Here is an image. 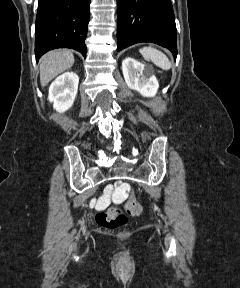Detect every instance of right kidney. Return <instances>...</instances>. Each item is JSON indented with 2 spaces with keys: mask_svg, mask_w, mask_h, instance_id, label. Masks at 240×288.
Returning <instances> with one entry per match:
<instances>
[{
  "mask_svg": "<svg viewBox=\"0 0 240 288\" xmlns=\"http://www.w3.org/2000/svg\"><path fill=\"white\" fill-rule=\"evenodd\" d=\"M79 77L76 73L66 72L55 79L50 85L48 99L53 102L58 112L68 110L75 100Z\"/></svg>",
  "mask_w": 240,
  "mask_h": 288,
  "instance_id": "1",
  "label": "right kidney"
}]
</instances>
